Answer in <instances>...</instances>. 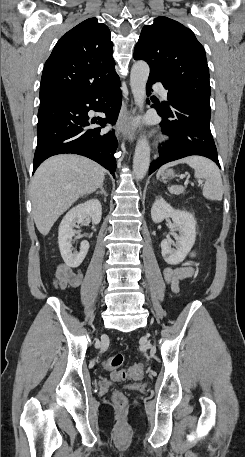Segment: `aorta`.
Masks as SVG:
<instances>
[{
    "label": "aorta",
    "mask_w": 245,
    "mask_h": 457,
    "mask_svg": "<svg viewBox=\"0 0 245 457\" xmlns=\"http://www.w3.org/2000/svg\"><path fill=\"white\" fill-rule=\"evenodd\" d=\"M150 68L144 61L134 63L130 74L131 91L136 106L143 108L146 97V83L149 77ZM150 165V146L146 138L138 140L133 157V174L137 180L146 175Z\"/></svg>",
    "instance_id": "obj_1"
}]
</instances>
